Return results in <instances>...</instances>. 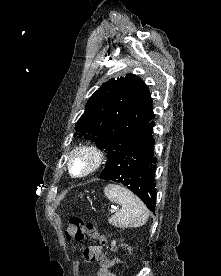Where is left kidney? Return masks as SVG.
Masks as SVG:
<instances>
[{
	"mask_svg": "<svg viewBox=\"0 0 221 276\" xmlns=\"http://www.w3.org/2000/svg\"><path fill=\"white\" fill-rule=\"evenodd\" d=\"M115 243H116L115 241L112 242L113 245H115Z\"/></svg>",
	"mask_w": 221,
	"mask_h": 276,
	"instance_id": "obj_1",
	"label": "left kidney"
}]
</instances>
